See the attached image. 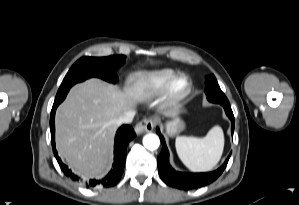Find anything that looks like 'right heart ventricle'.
<instances>
[{
	"mask_svg": "<svg viewBox=\"0 0 299 205\" xmlns=\"http://www.w3.org/2000/svg\"><path fill=\"white\" fill-rule=\"evenodd\" d=\"M174 75L173 70L161 69L137 72L127 84V94L136 101L153 97Z\"/></svg>",
	"mask_w": 299,
	"mask_h": 205,
	"instance_id": "obj_1",
	"label": "right heart ventricle"
}]
</instances>
